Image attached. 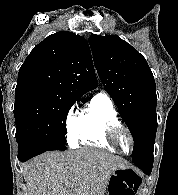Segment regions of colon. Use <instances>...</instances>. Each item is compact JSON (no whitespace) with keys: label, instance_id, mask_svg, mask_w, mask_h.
Masks as SVG:
<instances>
[{"label":"colon","instance_id":"5ec220e1","mask_svg":"<svg viewBox=\"0 0 178 195\" xmlns=\"http://www.w3.org/2000/svg\"><path fill=\"white\" fill-rule=\"evenodd\" d=\"M138 185H139V183H136V184L134 185V190H136V189L138 188Z\"/></svg>","mask_w":178,"mask_h":195}]
</instances>
